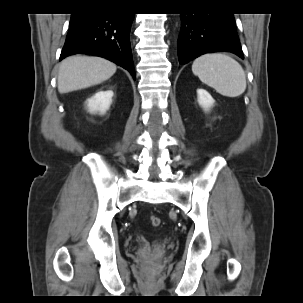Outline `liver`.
I'll list each match as a JSON object with an SVG mask.
<instances>
[{"label": "liver", "mask_w": 303, "mask_h": 303, "mask_svg": "<svg viewBox=\"0 0 303 303\" xmlns=\"http://www.w3.org/2000/svg\"><path fill=\"white\" fill-rule=\"evenodd\" d=\"M116 72V65L100 57L71 56L59 67L58 91H71L90 87L109 79Z\"/></svg>", "instance_id": "obj_1"}]
</instances>
